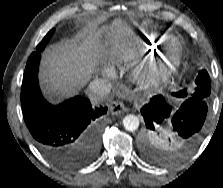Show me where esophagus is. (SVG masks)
Listing matches in <instances>:
<instances>
[{"label":"esophagus","instance_id":"34e87169","mask_svg":"<svg viewBox=\"0 0 223 188\" xmlns=\"http://www.w3.org/2000/svg\"><path fill=\"white\" fill-rule=\"evenodd\" d=\"M126 111L127 109L125 108L124 104L120 101H113L110 104V112L114 115H118Z\"/></svg>","mask_w":223,"mask_h":188}]
</instances>
